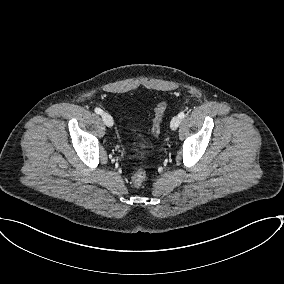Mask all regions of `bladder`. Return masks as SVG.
Listing matches in <instances>:
<instances>
[{"instance_id":"31cf9c89","label":"bladder","mask_w":284,"mask_h":284,"mask_svg":"<svg viewBox=\"0 0 284 284\" xmlns=\"http://www.w3.org/2000/svg\"><path fill=\"white\" fill-rule=\"evenodd\" d=\"M137 147L139 148V150L145 151L147 149V144L144 141H138Z\"/></svg>"}]
</instances>
